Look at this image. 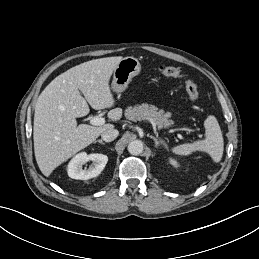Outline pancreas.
I'll return each instance as SVG.
<instances>
[{"label":"pancreas","instance_id":"obj_1","mask_svg":"<svg viewBox=\"0 0 259 259\" xmlns=\"http://www.w3.org/2000/svg\"><path fill=\"white\" fill-rule=\"evenodd\" d=\"M125 116L131 121H149L158 127L169 126L172 121L169 120L171 113H165L163 110H158L157 107L148 104L135 105L128 107L125 110Z\"/></svg>","mask_w":259,"mask_h":259}]
</instances>
